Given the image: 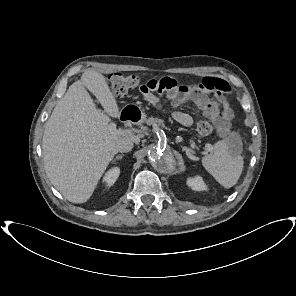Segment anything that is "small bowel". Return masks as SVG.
I'll list each match as a JSON object with an SVG mask.
<instances>
[{
	"label": "small bowel",
	"instance_id": "small-bowel-1",
	"mask_svg": "<svg viewBox=\"0 0 296 296\" xmlns=\"http://www.w3.org/2000/svg\"><path fill=\"white\" fill-rule=\"evenodd\" d=\"M230 91L229 84L217 77H205L198 83L180 84L176 79L164 77L161 79H151L140 86V92L144 99L155 106L162 108L159 97L156 94L166 93L167 98L175 108L173 118L183 126H191L192 117L181 111V105L188 101L194 107L204 109L210 103L209 94H213L216 102L222 107L223 119L215 121L221 133L228 128L232 112L228 107L226 95Z\"/></svg>",
	"mask_w": 296,
	"mask_h": 296
}]
</instances>
